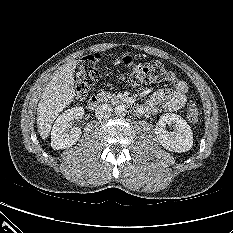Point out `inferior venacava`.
I'll return each instance as SVG.
<instances>
[{
  "instance_id": "obj_1",
  "label": "inferior vena cava",
  "mask_w": 233,
  "mask_h": 233,
  "mask_svg": "<svg viewBox=\"0 0 233 233\" xmlns=\"http://www.w3.org/2000/svg\"><path fill=\"white\" fill-rule=\"evenodd\" d=\"M113 109L108 104H101L95 110L97 119H106L112 115Z\"/></svg>"
}]
</instances>
